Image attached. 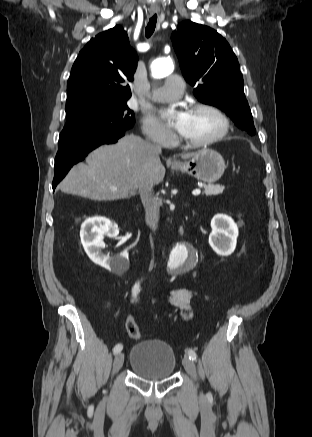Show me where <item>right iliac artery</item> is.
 <instances>
[{"mask_svg":"<svg viewBox=\"0 0 312 437\" xmlns=\"http://www.w3.org/2000/svg\"><path fill=\"white\" fill-rule=\"evenodd\" d=\"M139 291H140V285H139V282H138V283H136V284L134 285V287H133V289H132V296H133V297H136L137 294L139 293ZM122 348H123V347H122L121 344H117V345L113 348V353H114V354L120 353L121 350H122Z\"/></svg>","mask_w":312,"mask_h":437,"instance_id":"1","label":"right iliac artery"}]
</instances>
